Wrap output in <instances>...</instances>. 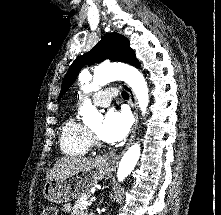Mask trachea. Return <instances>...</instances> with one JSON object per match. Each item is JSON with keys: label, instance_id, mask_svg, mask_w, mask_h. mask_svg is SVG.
I'll use <instances>...</instances> for the list:
<instances>
[{"label": "trachea", "instance_id": "trachea-1", "mask_svg": "<svg viewBox=\"0 0 221 215\" xmlns=\"http://www.w3.org/2000/svg\"><path fill=\"white\" fill-rule=\"evenodd\" d=\"M122 97H123V99L127 100V99H129V94L125 91H122Z\"/></svg>", "mask_w": 221, "mask_h": 215}]
</instances>
